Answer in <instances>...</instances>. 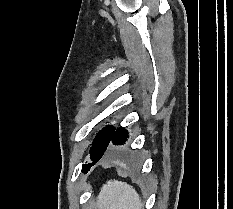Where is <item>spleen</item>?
<instances>
[{"label":"spleen","mask_w":233,"mask_h":209,"mask_svg":"<svg viewBox=\"0 0 233 209\" xmlns=\"http://www.w3.org/2000/svg\"><path fill=\"white\" fill-rule=\"evenodd\" d=\"M98 209H141L139 194L129 184L109 180L101 188L97 200Z\"/></svg>","instance_id":"obj_1"}]
</instances>
